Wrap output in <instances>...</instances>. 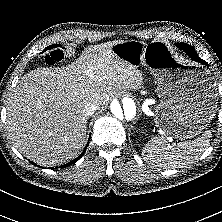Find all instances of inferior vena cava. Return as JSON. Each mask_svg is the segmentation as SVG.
<instances>
[{
	"mask_svg": "<svg viewBox=\"0 0 222 222\" xmlns=\"http://www.w3.org/2000/svg\"><path fill=\"white\" fill-rule=\"evenodd\" d=\"M100 108V105L97 103H88L85 105L83 113L85 116H90L95 113L96 110Z\"/></svg>",
	"mask_w": 222,
	"mask_h": 222,
	"instance_id": "obj_1",
	"label": "inferior vena cava"
}]
</instances>
